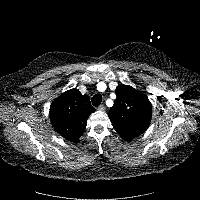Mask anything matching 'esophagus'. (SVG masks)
<instances>
[{
	"instance_id": "obj_1",
	"label": "esophagus",
	"mask_w": 200,
	"mask_h": 200,
	"mask_svg": "<svg viewBox=\"0 0 200 200\" xmlns=\"http://www.w3.org/2000/svg\"><path fill=\"white\" fill-rule=\"evenodd\" d=\"M98 110H99V111H104V110H105V106H104V105H100V106L98 107Z\"/></svg>"
}]
</instances>
